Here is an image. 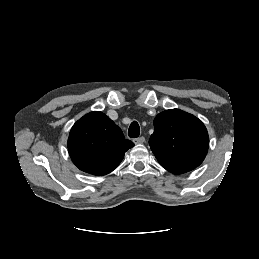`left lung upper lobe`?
Here are the masks:
<instances>
[{"instance_id": "5c2ea615", "label": "left lung upper lobe", "mask_w": 259, "mask_h": 259, "mask_svg": "<svg viewBox=\"0 0 259 259\" xmlns=\"http://www.w3.org/2000/svg\"><path fill=\"white\" fill-rule=\"evenodd\" d=\"M149 145L161 165L196 168L207 154L209 137L201 120L172 109L155 117Z\"/></svg>"}]
</instances>
